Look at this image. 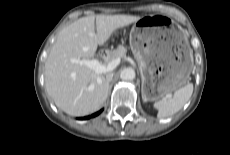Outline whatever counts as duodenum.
Masks as SVG:
<instances>
[{"instance_id":"duodenum-1","label":"duodenum","mask_w":230,"mask_h":155,"mask_svg":"<svg viewBox=\"0 0 230 155\" xmlns=\"http://www.w3.org/2000/svg\"><path fill=\"white\" fill-rule=\"evenodd\" d=\"M98 56L101 60L105 61L107 60L108 58V52L106 50H101L99 53H98Z\"/></svg>"}]
</instances>
